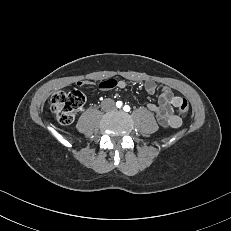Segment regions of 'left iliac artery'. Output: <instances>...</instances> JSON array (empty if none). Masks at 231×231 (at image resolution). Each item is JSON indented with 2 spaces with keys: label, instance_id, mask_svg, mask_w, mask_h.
Listing matches in <instances>:
<instances>
[{
  "label": "left iliac artery",
  "instance_id": "obj_1",
  "mask_svg": "<svg viewBox=\"0 0 231 231\" xmlns=\"http://www.w3.org/2000/svg\"><path fill=\"white\" fill-rule=\"evenodd\" d=\"M123 109H124V111H126V112L130 111V107H129L128 105H125V106L123 107Z\"/></svg>",
  "mask_w": 231,
  "mask_h": 231
}]
</instances>
